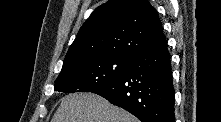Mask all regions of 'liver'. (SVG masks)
<instances>
[{
    "instance_id": "6515ba94",
    "label": "liver",
    "mask_w": 221,
    "mask_h": 122,
    "mask_svg": "<svg viewBox=\"0 0 221 122\" xmlns=\"http://www.w3.org/2000/svg\"><path fill=\"white\" fill-rule=\"evenodd\" d=\"M52 122H138L126 110L91 92L63 97Z\"/></svg>"
}]
</instances>
